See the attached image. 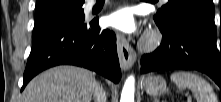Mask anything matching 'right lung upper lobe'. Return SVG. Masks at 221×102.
<instances>
[{"instance_id":"1","label":"right lung upper lobe","mask_w":221,"mask_h":102,"mask_svg":"<svg viewBox=\"0 0 221 102\" xmlns=\"http://www.w3.org/2000/svg\"><path fill=\"white\" fill-rule=\"evenodd\" d=\"M48 0H37L36 8L42 6L45 4ZM84 1V0H83Z\"/></svg>"}]
</instances>
